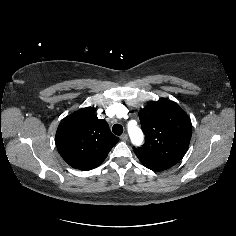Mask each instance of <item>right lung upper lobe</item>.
<instances>
[{
    "label": "right lung upper lobe",
    "instance_id": "right-lung-upper-lobe-1",
    "mask_svg": "<svg viewBox=\"0 0 236 236\" xmlns=\"http://www.w3.org/2000/svg\"><path fill=\"white\" fill-rule=\"evenodd\" d=\"M118 141L92 107L65 117L56 132V146L62 158L71 167L83 171L99 166Z\"/></svg>",
    "mask_w": 236,
    "mask_h": 236
}]
</instances>
